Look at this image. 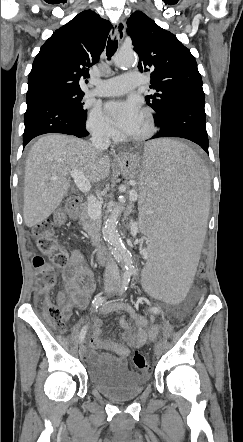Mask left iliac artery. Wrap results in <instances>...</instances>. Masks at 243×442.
<instances>
[{"label":"left iliac artery","mask_w":243,"mask_h":442,"mask_svg":"<svg viewBox=\"0 0 243 442\" xmlns=\"http://www.w3.org/2000/svg\"><path fill=\"white\" fill-rule=\"evenodd\" d=\"M133 275L135 276V275H137V273H136V272H133ZM149 311H150L151 313H153V314H160V313H161V309H160V308H157V307H151V308L149 309Z\"/></svg>","instance_id":"44dca946"}]
</instances>
